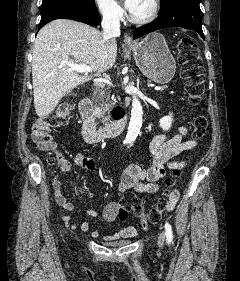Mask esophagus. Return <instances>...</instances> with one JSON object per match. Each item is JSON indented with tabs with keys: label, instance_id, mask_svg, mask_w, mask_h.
<instances>
[{
	"label": "esophagus",
	"instance_id": "obj_1",
	"mask_svg": "<svg viewBox=\"0 0 240 281\" xmlns=\"http://www.w3.org/2000/svg\"><path fill=\"white\" fill-rule=\"evenodd\" d=\"M124 44L126 46H134L135 45V42L133 41L132 37L127 33L124 34Z\"/></svg>",
	"mask_w": 240,
	"mask_h": 281
}]
</instances>
